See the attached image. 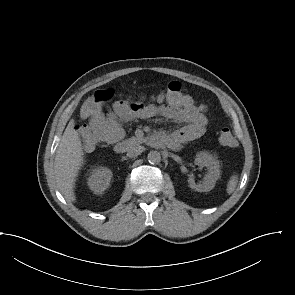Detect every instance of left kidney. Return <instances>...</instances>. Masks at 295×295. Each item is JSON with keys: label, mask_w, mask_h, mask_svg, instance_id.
Here are the masks:
<instances>
[{"label": "left kidney", "mask_w": 295, "mask_h": 295, "mask_svg": "<svg viewBox=\"0 0 295 295\" xmlns=\"http://www.w3.org/2000/svg\"><path fill=\"white\" fill-rule=\"evenodd\" d=\"M195 165L206 167L208 172L205 175L202 184H196L193 176L190 175L188 178L190 188L195 189L198 192H208L212 190L216 181L220 178L219 161L207 152H200L195 158Z\"/></svg>", "instance_id": "left-kidney-1"}]
</instances>
